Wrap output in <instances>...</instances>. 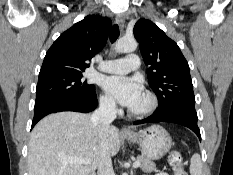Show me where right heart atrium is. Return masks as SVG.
<instances>
[{
  "label": "right heart atrium",
  "instance_id": "obj_1",
  "mask_svg": "<svg viewBox=\"0 0 233 175\" xmlns=\"http://www.w3.org/2000/svg\"><path fill=\"white\" fill-rule=\"evenodd\" d=\"M99 103L101 108L104 109L105 111L115 112L117 109L114 98L107 93H103L100 95Z\"/></svg>",
  "mask_w": 233,
  "mask_h": 175
}]
</instances>
